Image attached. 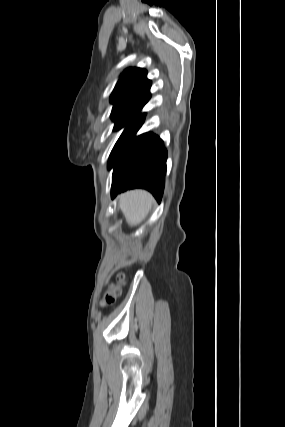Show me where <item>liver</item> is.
Masks as SVG:
<instances>
[{
    "instance_id": "obj_1",
    "label": "liver",
    "mask_w": 285,
    "mask_h": 427,
    "mask_svg": "<svg viewBox=\"0 0 285 427\" xmlns=\"http://www.w3.org/2000/svg\"><path fill=\"white\" fill-rule=\"evenodd\" d=\"M153 204L152 196L144 190H132L119 197V207L130 226L140 224Z\"/></svg>"
}]
</instances>
